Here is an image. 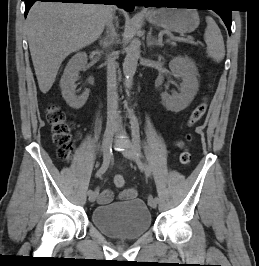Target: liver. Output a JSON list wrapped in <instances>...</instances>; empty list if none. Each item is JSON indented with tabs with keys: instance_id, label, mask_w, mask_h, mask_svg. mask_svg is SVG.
Listing matches in <instances>:
<instances>
[{
	"instance_id": "6515ba94",
	"label": "liver",
	"mask_w": 259,
	"mask_h": 266,
	"mask_svg": "<svg viewBox=\"0 0 259 266\" xmlns=\"http://www.w3.org/2000/svg\"><path fill=\"white\" fill-rule=\"evenodd\" d=\"M112 7L103 4L36 2L26 30L39 89L47 93L63 60L95 42Z\"/></svg>"
}]
</instances>
